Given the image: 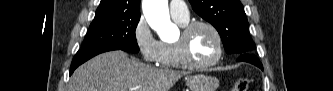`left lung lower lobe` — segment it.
<instances>
[{"mask_svg": "<svg viewBox=\"0 0 333 91\" xmlns=\"http://www.w3.org/2000/svg\"><path fill=\"white\" fill-rule=\"evenodd\" d=\"M237 61L249 62V63L254 64L257 67L263 69L262 64L257 59V57L253 54V52L243 53V54L238 55Z\"/></svg>", "mask_w": 333, "mask_h": 91, "instance_id": "0a47b994", "label": "left lung lower lobe"}]
</instances>
